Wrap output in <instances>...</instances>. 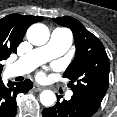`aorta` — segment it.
Wrapping results in <instances>:
<instances>
[{"instance_id": "1", "label": "aorta", "mask_w": 117, "mask_h": 117, "mask_svg": "<svg viewBox=\"0 0 117 117\" xmlns=\"http://www.w3.org/2000/svg\"><path fill=\"white\" fill-rule=\"evenodd\" d=\"M26 35L28 41L36 46L46 44L50 37L48 27L41 23L31 25ZM40 102L42 105L50 107L56 102V95L51 90H44L40 93Z\"/></svg>"}]
</instances>
